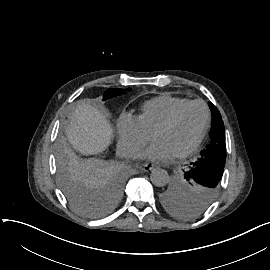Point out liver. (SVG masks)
I'll use <instances>...</instances> for the list:
<instances>
[{
    "label": "liver",
    "mask_w": 270,
    "mask_h": 270,
    "mask_svg": "<svg viewBox=\"0 0 270 270\" xmlns=\"http://www.w3.org/2000/svg\"><path fill=\"white\" fill-rule=\"evenodd\" d=\"M67 135L76 149L92 154L104 150L112 139L111 127L105 117L85 103L72 113Z\"/></svg>",
    "instance_id": "liver-1"
}]
</instances>
